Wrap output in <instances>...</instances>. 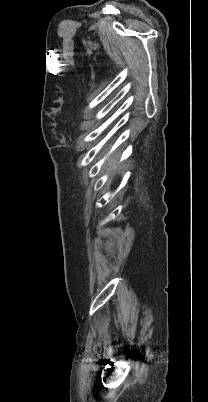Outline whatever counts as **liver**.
Segmentation results:
<instances>
[{
  "label": "liver",
  "mask_w": 208,
  "mask_h": 402,
  "mask_svg": "<svg viewBox=\"0 0 208 402\" xmlns=\"http://www.w3.org/2000/svg\"><path fill=\"white\" fill-rule=\"evenodd\" d=\"M108 164H110V166H113L114 160H108Z\"/></svg>",
  "instance_id": "1"
}]
</instances>
